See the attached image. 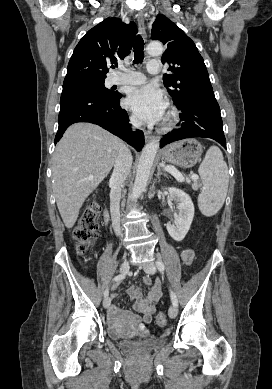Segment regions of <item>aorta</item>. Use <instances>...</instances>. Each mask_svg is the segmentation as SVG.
Segmentation results:
<instances>
[{"mask_svg": "<svg viewBox=\"0 0 272 389\" xmlns=\"http://www.w3.org/2000/svg\"><path fill=\"white\" fill-rule=\"evenodd\" d=\"M146 51L150 56H160L163 53V46L160 42H151L148 44ZM158 149L159 140L154 139L147 143L142 150L131 193L133 200L137 199L146 190L151 167Z\"/></svg>", "mask_w": 272, "mask_h": 389, "instance_id": "aorta-1", "label": "aorta"}]
</instances>
